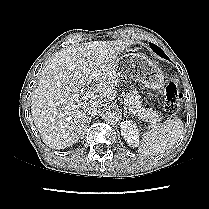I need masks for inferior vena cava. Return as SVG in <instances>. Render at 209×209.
<instances>
[{"label":"inferior vena cava","instance_id":"inferior-vena-cava-1","mask_svg":"<svg viewBox=\"0 0 209 209\" xmlns=\"http://www.w3.org/2000/svg\"><path fill=\"white\" fill-rule=\"evenodd\" d=\"M101 108L100 102H92L86 109L88 115L95 116Z\"/></svg>","mask_w":209,"mask_h":209}]
</instances>
